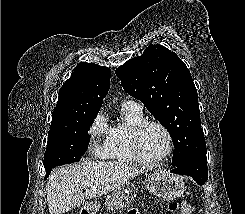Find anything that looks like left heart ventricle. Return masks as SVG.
<instances>
[{
  "label": "left heart ventricle",
  "mask_w": 245,
  "mask_h": 214,
  "mask_svg": "<svg viewBox=\"0 0 245 214\" xmlns=\"http://www.w3.org/2000/svg\"><path fill=\"white\" fill-rule=\"evenodd\" d=\"M167 146V137L158 127L149 126L140 136L142 153L149 159H156L162 156L165 153Z\"/></svg>",
  "instance_id": "left-heart-ventricle-1"
}]
</instances>
